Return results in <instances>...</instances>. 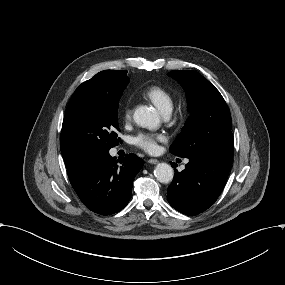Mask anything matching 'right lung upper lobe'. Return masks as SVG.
Masks as SVG:
<instances>
[{
	"label": "right lung upper lobe",
	"instance_id": "cb5924a9",
	"mask_svg": "<svg viewBox=\"0 0 285 285\" xmlns=\"http://www.w3.org/2000/svg\"><path fill=\"white\" fill-rule=\"evenodd\" d=\"M124 70H104L96 74L95 78H100L101 82H107L111 79L118 78Z\"/></svg>",
	"mask_w": 285,
	"mask_h": 285
}]
</instances>
